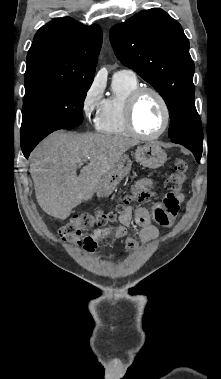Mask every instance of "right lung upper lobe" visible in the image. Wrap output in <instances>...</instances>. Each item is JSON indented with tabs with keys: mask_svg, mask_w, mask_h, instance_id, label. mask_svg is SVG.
Listing matches in <instances>:
<instances>
[{
	"mask_svg": "<svg viewBox=\"0 0 221 379\" xmlns=\"http://www.w3.org/2000/svg\"><path fill=\"white\" fill-rule=\"evenodd\" d=\"M101 45L97 24L85 26L69 17L53 19L37 31L28 51L25 93L93 81Z\"/></svg>",
	"mask_w": 221,
	"mask_h": 379,
	"instance_id": "cb5924a9",
	"label": "right lung upper lobe"
}]
</instances>
